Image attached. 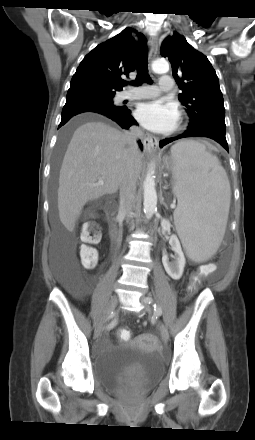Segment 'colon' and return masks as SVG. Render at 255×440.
<instances>
[{
    "label": "colon",
    "instance_id": "colon-1",
    "mask_svg": "<svg viewBox=\"0 0 255 440\" xmlns=\"http://www.w3.org/2000/svg\"><path fill=\"white\" fill-rule=\"evenodd\" d=\"M100 232L93 224L87 225L82 231V238L87 243L81 248L82 263L87 268H93L96 265L98 252L92 245L99 240ZM197 288V284L188 290L189 294H193ZM118 337L121 340L127 341L131 337V332L128 329H120L118 331Z\"/></svg>",
    "mask_w": 255,
    "mask_h": 440
}]
</instances>
